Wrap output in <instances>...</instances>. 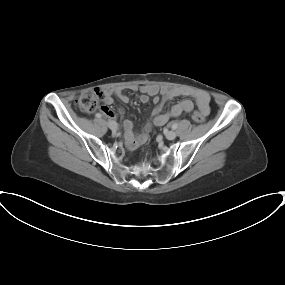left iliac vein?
<instances>
[{
	"label": "left iliac vein",
	"instance_id": "left-iliac-vein-1",
	"mask_svg": "<svg viewBox=\"0 0 285 285\" xmlns=\"http://www.w3.org/2000/svg\"><path fill=\"white\" fill-rule=\"evenodd\" d=\"M165 136L168 140H174L176 138V132L175 131H167L165 133Z\"/></svg>",
	"mask_w": 285,
	"mask_h": 285
}]
</instances>
